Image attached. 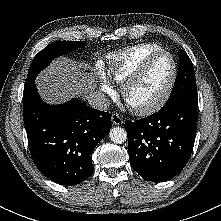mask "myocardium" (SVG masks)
I'll use <instances>...</instances> for the list:
<instances>
[{
	"label": "myocardium",
	"instance_id": "f54148a6",
	"mask_svg": "<svg viewBox=\"0 0 221 221\" xmlns=\"http://www.w3.org/2000/svg\"><path fill=\"white\" fill-rule=\"evenodd\" d=\"M161 56H168L170 57L172 63H173V70L170 77V80L168 84L166 85L165 89L162 91V93L159 95L157 99L152 101L151 103L143 106H131L128 103V92L131 89V87L140 79V77L148 70V68L151 66V64L158 59ZM178 78V64L175 59V57L164 50L157 51L151 55H149L142 63L141 65L122 83L121 85V97L124 103L136 114L138 115H149L152 113H155L159 109H161L165 103L168 101L174 86L176 84Z\"/></svg>",
	"mask_w": 221,
	"mask_h": 221
}]
</instances>
